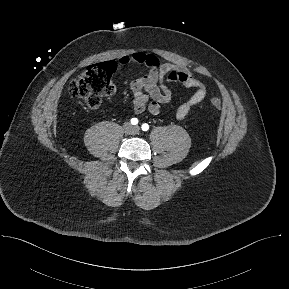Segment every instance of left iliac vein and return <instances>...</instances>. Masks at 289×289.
Instances as JSON below:
<instances>
[{"label": "left iliac vein", "mask_w": 289, "mask_h": 289, "mask_svg": "<svg viewBox=\"0 0 289 289\" xmlns=\"http://www.w3.org/2000/svg\"><path fill=\"white\" fill-rule=\"evenodd\" d=\"M134 130H135V131H139V127H138V126H135V127H134Z\"/></svg>", "instance_id": "left-iliac-vein-1"}]
</instances>
